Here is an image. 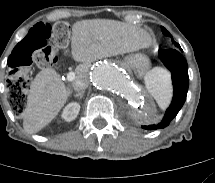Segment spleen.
Returning <instances> with one entry per match:
<instances>
[{
  "mask_svg": "<svg viewBox=\"0 0 215 183\" xmlns=\"http://www.w3.org/2000/svg\"><path fill=\"white\" fill-rule=\"evenodd\" d=\"M148 92L156 100L161 109H165L172 97L170 74L163 68H154L144 77Z\"/></svg>",
  "mask_w": 215,
  "mask_h": 183,
  "instance_id": "spleen-1",
  "label": "spleen"
}]
</instances>
